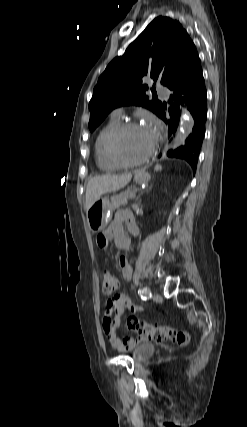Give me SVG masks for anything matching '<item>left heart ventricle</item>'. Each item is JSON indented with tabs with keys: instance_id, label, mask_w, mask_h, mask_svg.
I'll use <instances>...</instances> for the list:
<instances>
[{
	"instance_id": "1",
	"label": "left heart ventricle",
	"mask_w": 247,
	"mask_h": 427,
	"mask_svg": "<svg viewBox=\"0 0 247 427\" xmlns=\"http://www.w3.org/2000/svg\"><path fill=\"white\" fill-rule=\"evenodd\" d=\"M154 140L144 127L128 130L121 139L120 150L128 160L143 157L152 147Z\"/></svg>"
}]
</instances>
